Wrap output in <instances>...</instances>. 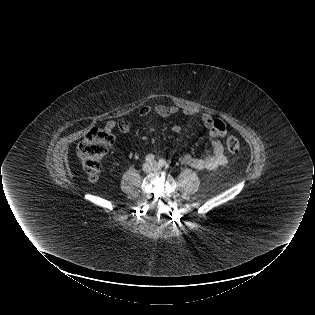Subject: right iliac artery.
Instances as JSON below:
<instances>
[{
  "label": "right iliac artery",
  "mask_w": 315,
  "mask_h": 315,
  "mask_svg": "<svg viewBox=\"0 0 315 315\" xmlns=\"http://www.w3.org/2000/svg\"><path fill=\"white\" fill-rule=\"evenodd\" d=\"M145 161L151 163L152 161H154V155L148 154V155L145 157Z\"/></svg>",
  "instance_id": "1"
}]
</instances>
